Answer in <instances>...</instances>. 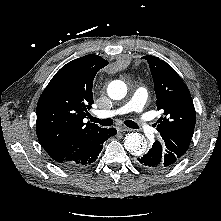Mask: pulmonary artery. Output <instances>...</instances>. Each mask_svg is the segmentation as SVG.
Listing matches in <instances>:
<instances>
[{
  "mask_svg": "<svg viewBox=\"0 0 221 221\" xmlns=\"http://www.w3.org/2000/svg\"><path fill=\"white\" fill-rule=\"evenodd\" d=\"M147 97V90L143 87H140L135 91L131 99L125 105L114 110L100 111L98 113V116L102 118H109L129 112H135L137 114V121L140 129L147 135L151 134L153 129L151 127L149 119L143 113Z\"/></svg>",
  "mask_w": 221,
  "mask_h": 221,
  "instance_id": "e3ab8cb5",
  "label": "pulmonary artery"
}]
</instances>
